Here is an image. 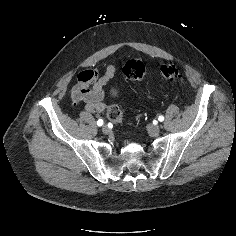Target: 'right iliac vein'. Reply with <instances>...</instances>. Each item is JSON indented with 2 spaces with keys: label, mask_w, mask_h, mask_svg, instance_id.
Listing matches in <instances>:
<instances>
[{
  "label": "right iliac vein",
  "mask_w": 236,
  "mask_h": 236,
  "mask_svg": "<svg viewBox=\"0 0 236 236\" xmlns=\"http://www.w3.org/2000/svg\"><path fill=\"white\" fill-rule=\"evenodd\" d=\"M102 132H103L104 134H108V133L110 132V129H109L106 125H104V126L102 127Z\"/></svg>",
  "instance_id": "1"
}]
</instances>
